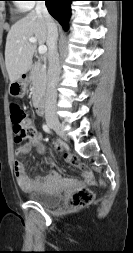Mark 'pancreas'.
Wrapping results in <instances>:
<instances>
[{
    "label": "pancreas",
    "instance_id": "pancreas-1",
    "mask_svg": "<svg viewBox=\"0 0 133 253\" xmlns=\"http://www.w3.org/2000/svg\"><path fill=\"white\" fill-rule=\"evenodd\" d=\"M29 81L32 85V100L38 102L44 94L47 83L46 67L44 64L38 62L32 67Z\"/></svg>",
    "mask_w": 133,
    "mask_h": 253
}]
</instances>
